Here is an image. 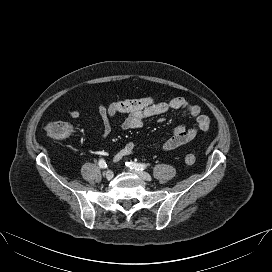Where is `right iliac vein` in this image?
<instances>
[{
  "label": "right iliac vein",
  "instance_id": "63e3f726",
  "mask_svg": "<svg viewBox=\"0 0 272 272\" xmlns=\"http://www.w3.org/2000/svg\"><path fill=\"white\" fill-rule=\"evenodd\" d=\"M106 179L110 180L113 178L114 174H113V171L112 170H107L105 173H104Z\"/></svg>",
  "mask_w": 272,
  "mask_h": 272
}]
</instances>
